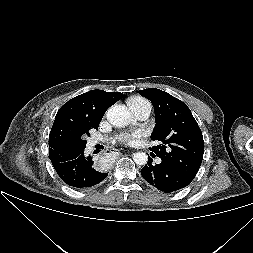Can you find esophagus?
Here are the masks:
<instances>
[{"mask_svg":"<svg viewBox=\"0 0 253 253\" xmlns=\"http://www.w3.org/2000/svg\"><path fill=\"white\" fill-rule=\"evenodd\" d=\"M111 153H119V150L118 149H113L112 151H111Z\"/></svg>","mask_w":253,"mask_h":253,"instance_id":"esophagus-1","label":"esophagus"}]
</instances>
